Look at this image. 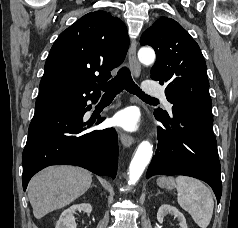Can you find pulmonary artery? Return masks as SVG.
Segmentation results:
<instances>
[{
	"instance_id": "pulmonary-artery-1",
	"label": "pulmonary artery",
	"mask_w": 238,
	"mask_h": 228,
	"mask_svg": "<svg viewBox=\"0 0 238 228\" xmlns=\"http://www.w3.org/2000/svg\"><path fill=\"white\" fill-rule=\"evenodd\" d=\"M143 89L146 95L164 96L163 88L160 85H158L154 80H146L143 84ZM166 106L168 109H171V104L167 101Z\"/></svg>"
}]
</instances>
